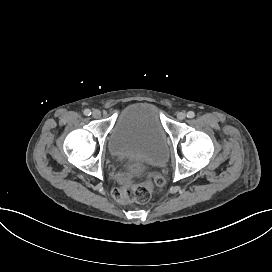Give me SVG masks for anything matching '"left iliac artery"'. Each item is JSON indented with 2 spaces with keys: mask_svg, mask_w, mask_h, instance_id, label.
Here are the masks:
<instances>
[{
  "mask_svg": "<svg viewBox=\"0 0 272 272\" xmlns=\"http://www.w3.org/2000/svg\"><path fill=\"white\" fill-rule=\"evenodd\" d=\"M195 116V113L193 112V111H189L188 113H187V117L188 118H193Z\"/></svg>",
  "mask_w": 272,
  "mask_h": 272,
  "instance_id": "left-iliac-artery-1",
  "label": "left iliac artery"
}]
</instances>
